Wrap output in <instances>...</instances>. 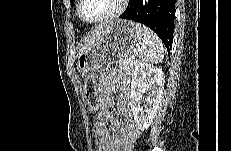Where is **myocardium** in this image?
Here are the masks:
<instances>
[{
	"instance_id": "myocardium-1",
	"label": "myocardium",
	"mask_w": 231,
	"mask_h": 151,
	"mask_svg": "<svg viewBox=\"0 0 231 151\" xmlns=\"http://www.w3.org/2000/svg\"><path fill=\"white\" fill-rule=\"evenodd\" d=\"M84 3H85V0L79 1V6H78L79 17L86 23L101 24V23H104V22H107V21H110V20H113V19L119 17L124 12L126 5L128 3V0H120L118 8L114 12H112L106 16H103L101 18L94 19V20L87 19L84 16V14H83Z\"/></svg>"
}]
</instances>
